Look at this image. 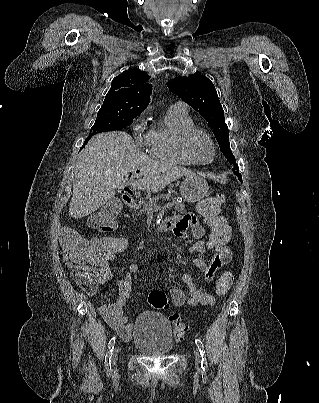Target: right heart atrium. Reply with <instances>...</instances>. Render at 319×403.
I'll return each mask as SVG.
<instances>
[{
    "label": "right heart atrium",
    "instance_id": "right-heart-atrium-1",
    "mask_svg": "<svg viewBox=\"0 0 319 403\" xmlns=\"http://www.w3.org/2000/svg\"><path fill=\"white\" fill-rule=\"evenodd\" d=\"M146 115H147V111L145 110L135 119L134 137H135L136 143L140 147L149 149L151 140H152V135H151V130H145Z\"/></svg>",
    "mask_w": 319,
    "mask_h": 403
}]
</instances>
